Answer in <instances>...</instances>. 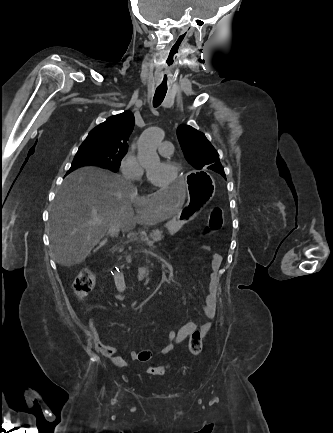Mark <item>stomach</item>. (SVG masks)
<instances>
[{
    "instance_id": "obj_1",
    "label": "stomach",
    "mask_w": 333,
    "mask_h": 433,
    "mask_svg": "<svg viewBox=\"0 0 333 433\" xmlns=\"http://www.w3.org/2000/svg\"><path fill=\"white\" fill-rule=\"evenodd\" d=\"M182 183H190L189 199L180 212L174 215L169 222L170 228H180L195 218L202 210L203 204L210 202L216 191L214 179L207 173L190 169L188 174H182Z\"/></svg>"
}]
</instances>
